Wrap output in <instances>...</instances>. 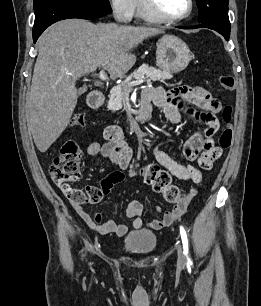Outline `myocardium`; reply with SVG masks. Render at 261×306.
<instances>
[{
    "label": "myocardium",
    "instance_id": "obj_1",
    "mask_svg": "<svg viewBox=\"0 0 261 306\" xmlns=\"http://www.w3.org/2000/svg\"><path fill=\"white\" fill-rule=\"evenodd\" d=\"M140 5L143 11L150 16L151 18L166 23L179 22L187 19L193 12L194 9V0H188V9L187 11L180 16L169 17L164 15L157 7L155 0H139Z\"/></svg>",
    "mask_w": 261,
    "mask_h": 306
}]
</instances>
